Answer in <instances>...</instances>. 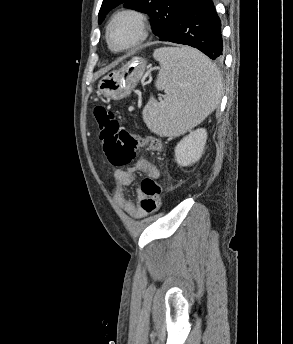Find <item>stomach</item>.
I'll return each mask as SVG.
<instances>
[{
  "label": "stomach",
  "mask_w": 293,
  "mask_h": 344,
  "mask_svg": "<svg viewBox=\"0 0 293 344\" xmlns=\"http://www.w3.org/2000/svg\"><path fill=\"white\" fill-rule=\"evenodd\" d=\"M146 61L134 58L119 70L112 71L100 79L98 89L109 99H122L131 94L137 83L144 76Z\"/></svg>",
  "instance_id": "1"
}]
</instances>
